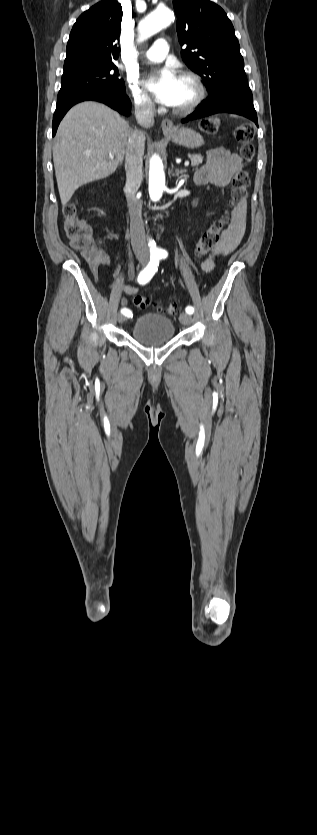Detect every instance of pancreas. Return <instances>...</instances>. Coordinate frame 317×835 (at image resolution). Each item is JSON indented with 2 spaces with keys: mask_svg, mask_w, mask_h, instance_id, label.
<instances>
[{
  "mask_svg": "<svg viewBox=\"0 0 317 835\" xmlns=\"http://www.w3.org/2000/svg\"><path fill=\"white\" fill-rule=\"evenodd\" d=\"M189 157L195 166H198L203 162V157L200 154H192Z\"/></svg>",
  "mask_w": 317,
  "mask_h": 835,
  "instance_id": "1",
  "label": "pancreas"
}]
</instances>
